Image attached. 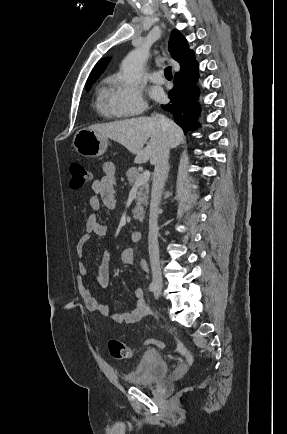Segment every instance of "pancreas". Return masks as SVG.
I'll return each mask as SVG.
<instances>
[{"instance_id":"1","label":"pancreas","mask_w":287,"mask_h":434,"mask_svg":"<svg viewBox=\"0 0 287 434\" xmlns=\"http://www.w3.org/2000/svg\"><path fill=\"white\" fill-rule=\"evenodd\" d=\"M126 178L131 186H134V183L136 179L141 175L140 172L137 170V168L133 167L130 168L126 172ZM148 194H149V184L145 183L142 186L139 187L138 193H137V203L136 207L133 210V218L135 220H143L144 218V206L148 205Z\"/></svg>"}]
</instances>
